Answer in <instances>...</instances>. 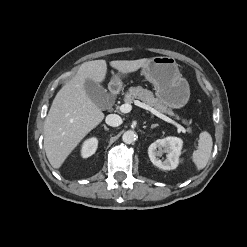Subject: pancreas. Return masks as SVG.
<instances>
[{
	"mask_svg": "<svg viewBox=\"0 0 247 247\" xmlns=\"http://www.w3.org/2000/svg\"><path fill=\"white\" fill-rule=\"evenodd\" d=\"M137 99L151 107H154L161 113L174 116L173 111L168 109L167 106H165L159 98H156L150 90L144 89L141 86L130 87L129 91L125 94L124 101L126 103H133Z\"/></svg>",
	"mask_w": 247,
	"mask_h": 247,
	"instance_id": "obj_1",
	"label": "pancreas"
}]
</instances>
